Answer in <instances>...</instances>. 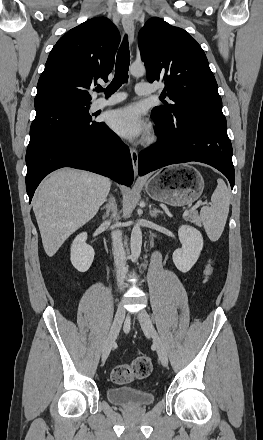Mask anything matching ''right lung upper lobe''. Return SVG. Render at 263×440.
<instances>
[{
  "label": "right lung upper lobe",
  "instance_id": "cb5924a9",
  "mask_svg": "<svg viewBox=\"0 0 263 440\" xmlns=\"http://www.w3.org/2000/svg\"><path fill=\"white\" fill-rule=\"evenodd\" d=\"M120 34L105 17L87 20L68 31L51 50L37 84L35 108L59 102L90 103L97 79L108 80Z\"/></svg>",
  "mask_w": 263,
  "mask_h": 440
}]
</instances>
